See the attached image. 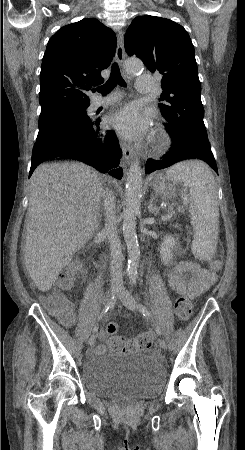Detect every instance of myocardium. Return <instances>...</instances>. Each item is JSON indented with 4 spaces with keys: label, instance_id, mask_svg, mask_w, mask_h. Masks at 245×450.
Returning a JSON list of instances; mask_svg holds the SVG:
<instances>
[{
    "label": "myocardium",
    "instance_id": "myocardium-1",
    "mask_svg": "<svg viewBox=\"0 0 245 450\" xmlns=\"http://www.w3.org/2000/svg\"><path fill=\"white\" fill-rule=\"evenodd\" d=\"M171 143V136L164 126H159L156 137H155V147L157 149L166 148Z\"/></svg>",
    "mask_w": 245,
    "mask_h": 450
}]
</instances>
